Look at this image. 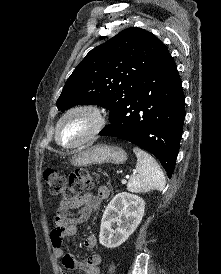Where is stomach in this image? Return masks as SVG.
Instances as JSON below:
<instances>
[{
  "mask_svg": "<svg viewBox=\"0 0 221 274\" xmlns=\"http://www.w3.org/2000/svg\"><path fill=\"white\" fill-rule=\"evenodd\" d=\"M126 160L127 154L122 148L97 144L74 154L71 163L76 166H89L104 163L123 164Z\"/></svg>",
  "mask_w": 221,
  "mask_h": 274,
  "instance_id": "stomach-1",
  "label": "stomach"
}]
</instances>
